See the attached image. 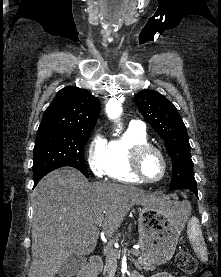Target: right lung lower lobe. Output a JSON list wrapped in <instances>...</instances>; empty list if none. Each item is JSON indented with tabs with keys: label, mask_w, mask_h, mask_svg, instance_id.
Masks as SVG:
<instances>
[{
	"label": "right lung lower lobe",
	"mask_w": 221,
	"mask_h": 277,
	"mask_svg": "<svg viewBox=\"0 0 221 277\" xmlns=\"http://www.w3.org/2000/svg\"><path fill=\"white\" fill-rule=\"evenodd\" d=\"M39 180H34V186L39 182Z\"/></svg>",
	"instance_id": "obj_1"
}]
</instances>
